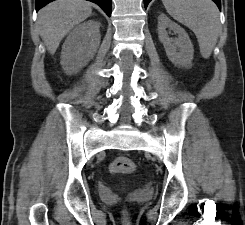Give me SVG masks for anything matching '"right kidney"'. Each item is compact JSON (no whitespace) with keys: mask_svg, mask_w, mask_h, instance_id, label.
<instances>
[{"mask_svg":"<svg viewBox=\"0 0 245 225\" xmlns=\"http://www.w3.org/2000/svg\"><path fill=\"white\" fill-rule=\"evenodd\" d=\"M100 23L90 20L68 35L61 52V65L67 74H76L93 58L100 45Z\"/></svg>","mask_w":245,"mask_h":225,"instance_id":"ca27d5eb","label":"right kidney"}]
</instances>
